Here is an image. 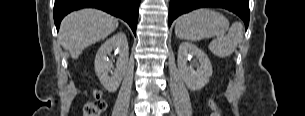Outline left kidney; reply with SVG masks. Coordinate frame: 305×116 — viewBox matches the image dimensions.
Listing matches in <instances>:
<instances>
[{
	"label": "left kidney",
	"mask_w": 305,
	"mask_h": 116,
	"mask_svg": "<svg viewBox=\"0 0 305 116\" xmlns=\"http://www.w3.org/2000/svg\"><path fill=\"white\" fill-rule=\"evenodd\" d=\"M192 56H195L199 63L193 64L197 66L196 70H194L193 66H188L187 64V60ZM177 63L179 73L190 90L195 91L203 88L212 76V65L209 58L192 43L183 42L180 44Z\"/></svg>",
	"instance_id": "left-kidney-1"
}]
</instances>
